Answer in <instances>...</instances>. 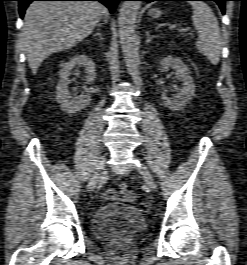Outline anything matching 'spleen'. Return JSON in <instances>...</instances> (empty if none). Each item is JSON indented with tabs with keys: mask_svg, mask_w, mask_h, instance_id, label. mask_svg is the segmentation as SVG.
<instances>
[{
	"mask_svg": "<svg viewBox=\"0 0 247 265\" xmlns=\"http://www.w3.org/2000/svg\"><path fill=\"white\" fill-rule=\"evenodd\" d=\"M189 3L193 7V26L198 31L196 48L213 65H217L222 49V38L217 18L205 2L191 1Z\"/></svg>",
	"mask_w": 247,
	"mask_h": 265,
	"instance_id": "obj_1",
	"label": "spleen"
}]
</instances>
